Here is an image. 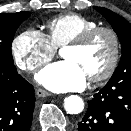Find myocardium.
<instances>
[{"label": "myocardium", "mask_w": 131, "mask_h": 131, "mask_svg": "<svg viewBox=\"0 0 131 131\" xmlns=\"http://www.w3.org/2000/svg\"><path fill=\"white\" fill-rule=\"evenodd\" d=\"M105 33L109 35L112 40V56L107 67L98 75L89 77L88 80L91 83H100L109 79L115 72L121 57V41L118 33L108 26H96L88 29L77 36L75 39L67 43L63 49L66 48H83L89 41L97 34Z\"/></svg>", "instance_id": "obj_1"}]
</instances>
